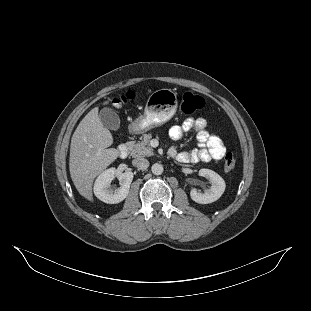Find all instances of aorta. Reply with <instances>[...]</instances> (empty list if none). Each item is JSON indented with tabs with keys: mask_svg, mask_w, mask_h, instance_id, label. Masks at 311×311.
<instances>
[{
	"mask_svg": "<svg viewBox=\"0 0 311 311\" xmlns=\"http://www.w3.org/2000/svg\"><path fill=\"white\" fill-rule=\"evenodd\" d=\"M163 166L160 163H154L151 167V171L155 175H160L163 173Z\"/></svg>",
	"mask_w": 311,
	"mask_h": 311,
	"instance_id": "obj_1",
	"label": "aorta"
}]
</instances>
